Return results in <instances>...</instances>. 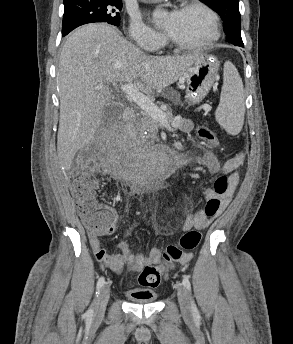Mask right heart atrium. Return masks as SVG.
<instances>
[{
	"label": "right heart atrium",
	"mask_w": 293,
	"mask_h": 344,
	"mask_svg": "<svg viewBox=\"0 0 293 344\" xmlns=\"http://www.w3.org/2000/svg\"><path fill=\"white\" fill-rule=\"evenodd\" d=\"M128 35L136 48L154 51L163 44V37L137 16H131L128 25Z\"/></svg>",
	"instance_id": "obj_1"
}]
</instances>
